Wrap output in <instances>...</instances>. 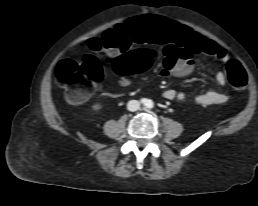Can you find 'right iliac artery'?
<instances>
[{"label":"right iliac artery","instance_id":"right-iliac-artery-1","mask_svg":"<svg viewBox=\"0 0 258 206\" xmlns=\"http://www.w3.org/2000/svg\"><path fill=\"white\" fill-rule=\"evenodd\" d=\"M141 102L145 104L146 103V99H142Z\"/></svg>","mask_w":258,"mask_h":206}]
</instances>
